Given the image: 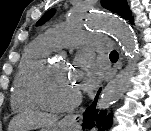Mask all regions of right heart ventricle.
<instances>
[{
  "label": "right heart ventricle",
  "mask_w": 151,
  "mask_h": 131,
  "mask_svg": "<svg viewBox=\"0 0 151 131\" xmlns=\"http://www.w3.org/2000/svg\"><path fill=\"white\" fill-rule=\"evenodd\" d=\"M55 47L44 37L31 42L24 50L11 91V106L16 111L38 108L32 94L33 80Z\"/></svg>",
  "instance_id": "e07e8e85"
}]
</instances>
